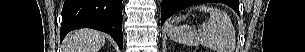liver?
I'll use <instances>...</instances> for the list:
<instances>
[{"label": "liver", "instance_id": "6515ba94", "mask_svg": "<svg viewBox=\"0 0 305 52\" xmlns=\"http://www.w3.org/2000/svg\"><path fill=\"white\" fill-rule=\"evenodd\" d=\"M104 44L103 33L93 29H81L67 36L64 52H99Z\"/></svg>", "mask_w": 305, "mask_h": 52}]
</instances>
